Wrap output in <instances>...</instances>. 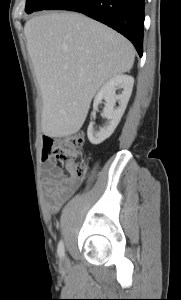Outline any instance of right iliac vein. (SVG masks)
Returning a JSON list of instances; mask_svg holds the SVG:
<instances>
[{"mask_svg":"<svg viewBox=\"0 0 181 300\" xmlns=\"http://www.w3.org/2000/svg\"><path fill=\"white\" fill-rule=\"evenodd\" d=\"M70 266L69 260L66 257L61 258L60 267L62 270H67Z\"/></svg>","mask_w":181,"mask_h":300,"instance_id":"63e3f726","label":"right iliac vein"}]
</instances>
